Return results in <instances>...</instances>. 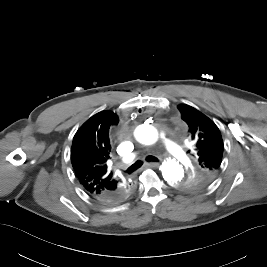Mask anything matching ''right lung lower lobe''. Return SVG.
<instances>
[{"label": "right lung lower lobe", "mask_w": 267, "mask_h": 267, "mask_svg": "<svg viewBox=\"0 0 267 267\" xmlns=\"http://www.w3.org/2000/svg\"><path fill=\"white\" fill-rule=\"evenodd\" d=\"M132 189L133 188L131 183H126V185L122 186L117 192H114L112 194L103 195L100 197H95L89 193L88 194L103 203L113 204L126 199L131 194Z\"/></svg>", "instance_id": "1"}]
</instances>
